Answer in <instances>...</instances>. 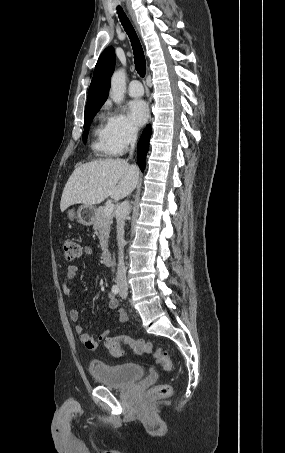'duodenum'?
Wrapping results in <instances>:
<instances>
[{
  "mask_svg": "<svg viewBox=\"0 0 285 453\" xmlns=\"http://www.w3.org/2000/svg\"><path fill=\"white\" fill-rule=\"evenodd\" d=\"M102 258L105 264L109 265L112 262V254L110 251L106 250L102 254Z\"/></svg>",
  "mask_w": 285,
  "mask_h": 453,
  "instance_id": "410a0bca",
  "label": "duodenum"
}]
</instances>
